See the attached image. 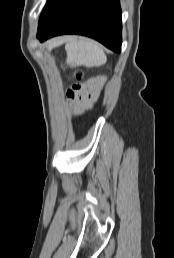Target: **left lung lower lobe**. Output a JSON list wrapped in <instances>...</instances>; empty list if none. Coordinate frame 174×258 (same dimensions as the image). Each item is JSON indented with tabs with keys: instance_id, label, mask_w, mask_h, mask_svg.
Instances as JSON below:
<instances>
[{
	"instance_id": "1",
	"label": "left lung lower lobe",
	"mask_w": 174,
	"mask_h": 258,
	"mask_svg": "<svg viewBox=\"0 0 174 258\" xmlns=\"http://www.w3.org/2000/svg\"><path fill=\"white\" fill-rule=\"evenodd\" d=\"M121 31L119 0H58L38 26L37 38L80 34L120 53Z\"/></svg>"
}]
</instances>
